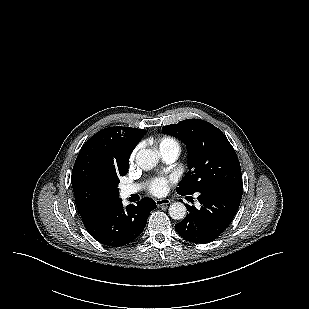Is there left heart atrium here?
I'll return each instance as SVG.
<instances>
[{
	"instance_id": "39dd6f15",
	"label": "left heart atrium",
	"mask_w": 309,
	"mask_h": 309,
	"mask_svg": "<svg viewBox=\"0 0 309 309\" xmlns=\"http://www.w3.org/2000/svg\"><path fill=\"white\" fill-rule=\"evenodd\" d=\"M169 180L165 177H156L148 185V190L155 196L164 195L168 191Z\"/></svg>"
}]
</instances>
